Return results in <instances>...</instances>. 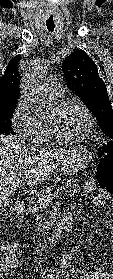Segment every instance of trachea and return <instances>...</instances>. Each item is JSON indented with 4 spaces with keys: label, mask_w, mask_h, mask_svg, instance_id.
Listing matches in <instances>:
<instances>
[{
    "label": "trachea",
    "mask_w": 113,
    "mask_h": 279,
    "mask_svg": "<svg viewBox=\"0 0 113 279\" xmlns=\"http://www.w3.org/2000/svg\"><path fill=\"white\" fill-rule=\"evenodd\" d=\"M54 26L52 25V26H50V25H47V29H48V31L49 32H53L54 31Z\"/></svg>",
    "instance_id": "3493384b"
}]
</instances>
